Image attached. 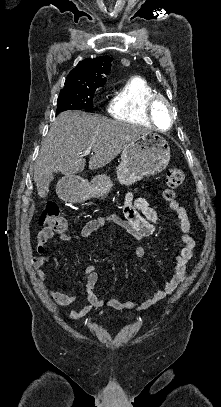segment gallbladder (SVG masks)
<instances>
[{"label":"gallbladder","instance_id":"obj_1","mask_svg":"<svg viewBox=\"0 0 221 407\" xmlns=\"http://www.w3.org/2000/svg\"><path fill=\"white\" fill-rule=\"evenodd\" d=\"M53 180V174L43 176L41 180L37 182V190L40 194H45L50 182Z\"/></svg>","mask_w":221,"mask_h":407}]
</instances>
